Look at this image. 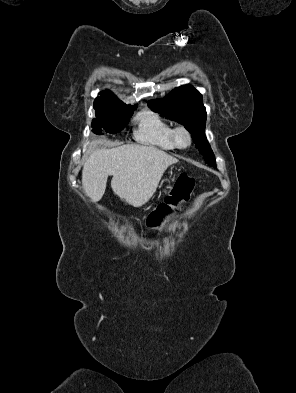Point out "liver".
Segmentation results:
<instances>
[{"mask_svg":"<svg viewBox=\"0 0 296 393\" xmlns=\"http://www.w3.org/2000/svg\"><path fill=\"white\" fill-rule=\"evenodd\" d=\"M178 159L152 146L131 144L112 149H99L97 142L82 170L84 192L92 202L105 193L108 176L111 187L120 198L134 207L146 204L155 193L165 170Z\"/></svg>","mask_w":296,"mask_h":393,"instance_id":"liver-1","label":"liver"}]
</instances>
